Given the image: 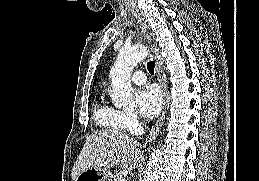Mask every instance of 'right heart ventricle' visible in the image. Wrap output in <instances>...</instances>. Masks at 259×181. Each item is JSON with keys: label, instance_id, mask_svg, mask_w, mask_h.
I'll list each match as a JSON object with an SVG mask.
<instances>
[{"label": "right heart ventricle", "instance_id": "obj_1", "mask_svg": "<svg viewBox=\"0 0 259 181\" xmlns=\"http://www.w3.org/2000/svg\"><path fill=\"white\" fill-rule=\"evenodd\" d=\"M94 120L99 127L106 130L122 131L126 129L123 112L109 105L103 98L95 106Z\"/></svg>", "mask_w": 259, "mask_h": 181}]
</instances>
